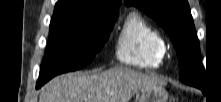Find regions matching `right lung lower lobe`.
Instances as JSON below:
<instances>
[{
  "instance_id": "98d812e1",
  "label": "right lung lower lobe",
  "mask_w": 221,
  "mask_h": 102,
  "mask_svg": "<svg viewBox=\"0 0 221 102\" xmlns=\"http://www.w3.org/2000/svg\"><path fill=\"white\" fill-rule=\"evenodd\" d=\"M42 85H43L42 83L37 82L36 88H39V87H41Z\"/></svg>"
}]
</instances>
